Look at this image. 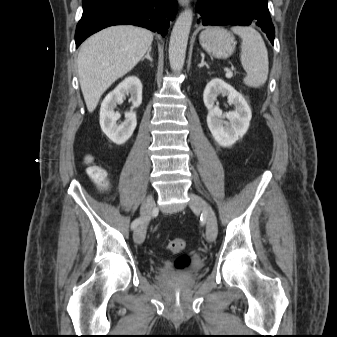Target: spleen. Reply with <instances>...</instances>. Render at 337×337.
Wrapping results in <instances>:
<instances>
[{
	"mask_svg": "<svg viewBox=\"0 0 337 337\" xmlns=\"http://www.w3.org/2000/svg\"><path fill=\"white\" fill-rule=\"evenodd\" d=\"M231 30L241 38L240 60L247 73L244 84L253 88L263 86L268 77L269 61L261 35L253 27L234 26Z\"/></svg>",
	"mask_w": 337,
	"mask_h": 337,
	"instance_id": "1",
	"label": "spleen"
}]
</instances>
